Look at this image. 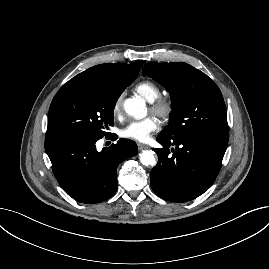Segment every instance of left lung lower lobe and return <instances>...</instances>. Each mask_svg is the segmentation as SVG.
<instances>
[{
    "label": "left lung lower lobe",
    "instance_id": "0a47b994",
    "mask_svg": "<svg viewBox=\"0 0 269 269\" xmlns=\"http://www.w3.org/2000/svg\"><path fill=\"white\" fill-rule=\"evenodd\" d=\"M157 141L163 148L153 149L158 163L150 174L151 187L164 200L186 202L203 194L214 183L228 135L195 132L171 140L157 137ZM170 146H174L171 151Z\"/></svg>",
    "mask_w": 269,
    "mask_h": 269
}]
</instances>
